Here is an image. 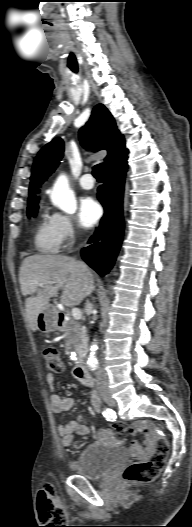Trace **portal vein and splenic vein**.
<instances>
[{
  "label": "portal vein and splenic vein",
  "instance_id": "portal-vein-and-splenic-vein-1",
  "mask_svg": "<svg viewBox=\"0 0 192 527\" xmlns=\"http://www.w3.org/2000/svg\"><path fill=\"white\" fill-rule=\"evenodd\" d=\"M50 283H51V284H55L56 282H55V281H52V282H50ZM71 314H72V317H73L75 320H80L81 317H82V313H81V311H80L79 309H77V308H73V309L71 310Z\"/></svg>",
  "mask_w": 192,
  "mask_h": 527
}]
</instances>
